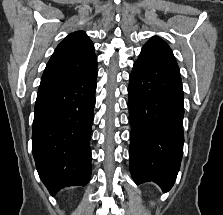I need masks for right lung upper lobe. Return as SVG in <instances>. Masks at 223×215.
<instances>
[{
    "instance_id": "1",
    "label": "right lung upper lobe",
    "mask_w": 223,
    "mask_h": 215,
    "mask_svg": "<svg viewBox=\"0 0 223 215\" xmlns=\"http://www.w3.org/2000/svg\"><path fill=\"white\" fill-rule=\"evenodd\" d=\"M97 68L94 45L83 31L68 35L56 48L38 91L79 80Z\"/></svg>"
}]
</instances>
